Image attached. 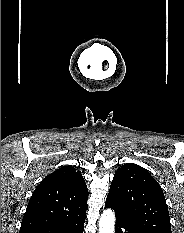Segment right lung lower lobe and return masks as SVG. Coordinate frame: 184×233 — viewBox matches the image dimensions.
<instances>
[{"mask_svg":"<svg viewBox=\"0 0 184 233\" xmlns=\"http://www.w3.org/2000/svg\"><path fill=\"white\" fill-rule=\"evenodd\" d=\"M86 216L68 223L49 226L33 233H83Z\"/></svg>","mask_w":184,"mask_h":233,"instance_id":"98d812e1","label":"right lung lower lobe"}]
</instances>
